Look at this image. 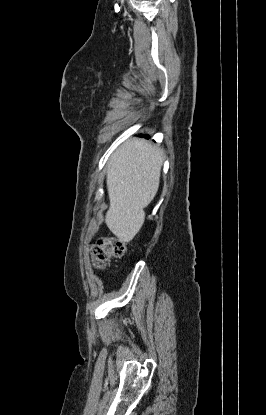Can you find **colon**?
<instances>
[{
  "label": "colon",
  "instance_id": "obj_1",
  "mask_svg": "<svg viewBox=\"0 0 266 415\" xmlns=\"http://www.w3.org/2000/svg\"><path fill=\"white\" fill-rule=\"evenodd\" d=\"M125 243L117 238H101L92 245L91 255L97 268L105 267L112 258H119L125 252Z\"/></svg>",
  "mask_w": 266,
  "mask_h": 415
}]
</instances>
